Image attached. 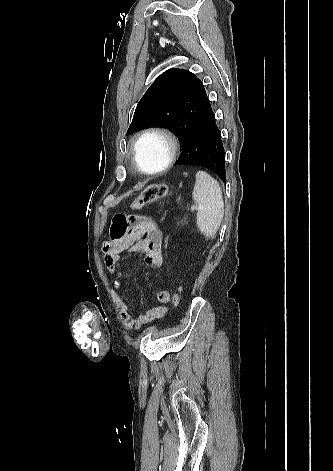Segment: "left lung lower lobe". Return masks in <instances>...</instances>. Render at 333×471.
Masks as SVG:
<instances>
[{
  "label": "left lung lower lobe",
  "mask_w": 333,
  "mask_h": 471,
  "mask_svg": "<svg viewBox=\"0 0 333 471\" xmlns=\"http://www.w3.org/2000/svg\"><path fill=\"white\" fill-rule=\"evenodd\" d=\"M193 164L215 172L226 182L225 152L221 132L216 125L211 105L195 125L190 140L174 165Z\"/></svg>",
  "instance_id": "obj_1"
}]
</instances>
